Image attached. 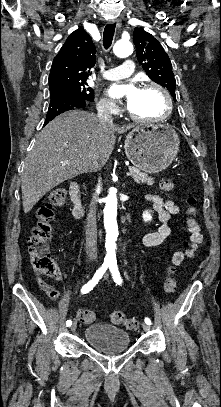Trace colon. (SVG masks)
I'll use <instances>...</instances> for the list:
<instances>
[{
	"mask_svg": "<svg viewBox=\"0 0 221 407\" xmlns=\"http://www.w3.org/2000/svg\"><path fill=\"white\" fill-rule=\"evenodd\" d=\"M160 188L164 191H170L173 188V181L170 178H163L160 181ZM66 198V190L62 187H55L49 191L44 202L37 208V222L28 240V250L33 269L40 276L55 277L57 274V266L52 259L49 247L53 233V208L64 205ZM195 203L193 197L187 199V217L195 214ZM182 260V258H177L174 264L167 268L164 290L168 294H173L176 291L177 282L174 277V270L175 265H178ZM76 316L83 324L92 323L96 318L95 313L89 309H79ZM109 319L112 323L122 325L128 330L137 331L140 327V322L136 318L127 317L118 310L109 312Z\"/></svg>",
	"mask_w": 221,
	"mask_h": 407,
	"instance_id": "obj_1",
	"label": "colon"
}]
</instances>
